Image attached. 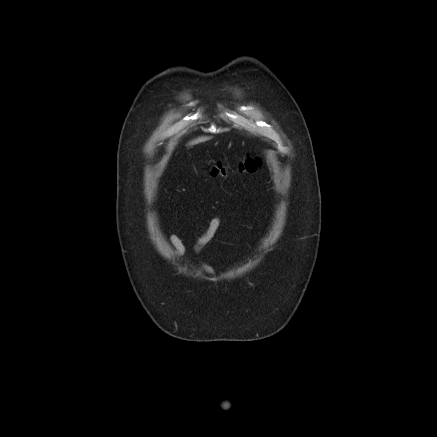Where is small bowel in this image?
Wrapping results in <instances>:
<instances>
[{
    "instance_id": "obj_1",
    "label": "small bowel",
    "mask_w": 437,
    "mask_h": 437,
    "mask_svg": "<svg viewBox=\"0 0 437 437\" xmlns=\"http://www.w3.org/2000/svg\"><path fill=\"white\" fill-rule=\"evenodd\" d=\"M220 224H221L220 216H215L214 218L211 219L206 231L198 239L197 243L194 246V251L196 253H199L202 250V248L213 238V236L215 235L216 231L218 230ZM169 240L173 246L175 255H177V256L184 255L185 246H184L182 240L175 234H171L169 237ZM200 268L203 272H205L207 274L214 273V270L206 264H201Z\"/></svg>"
}]
</instances>
